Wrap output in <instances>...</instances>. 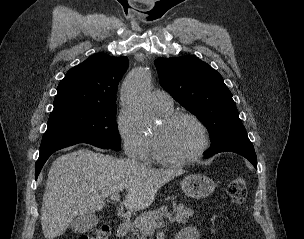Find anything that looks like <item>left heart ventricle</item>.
<instances>
[{"instance_id": "obj_1", "label": "left heart ventricle", "mask_w": 304, "mask_h": 239, "mask_svg": "<svg viewBox=\"0 0 304 239\" xmlns=\"http://www.w3.org/2000/svg\"><path fill=\"white\" fill-rule=\"evenodd\" d=\"M159 152L169 158L193 154L201 144V133L194 122L181 118L170 125L161 122L153 131Z\"/></svg>"}]
</instances>
